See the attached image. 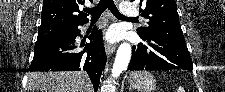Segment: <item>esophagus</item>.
<instances>
[{
    "mask_svg": "<svg viewBox=\"0 0 225 92\" xmlns=\"http://www.w3.org/2000/svg\"><path fill=\"white\" fill-rule=\"evenodd\" d=\"M116 50V45L115 44H106L105 45V51L107 55L113 54V52Z\"/></svg>",
    "mask_w": 225,
    "mask_h": 92,
    "instance_id": "1",
    "label": "esophagus"
}]
</instances>
